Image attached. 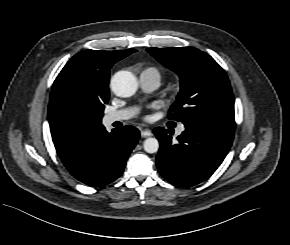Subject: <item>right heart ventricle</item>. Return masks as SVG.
<instances>
[{"mask_svg": "<svg viewBox=\"0 0 290 245\" xmlns=\"http://www.w3.org/2000/svg\"><path fill=\"white\" fill-rule=\"evenodd\" d=\"M149 70H156L157 71V69L156 68H153V67H148L144 71H149Z\"/></svg>", "mask_w": 290, "mask_h": 245, "instance_id": "obj_1", "label": "right heart ventricle"}]
</instances>
